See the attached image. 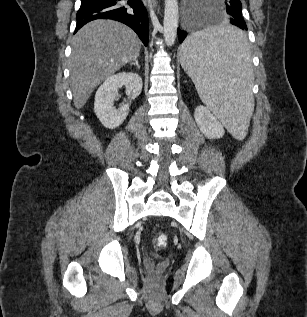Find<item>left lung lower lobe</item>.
I'll list each match as a JSON object with an SVG mask.
<instances>
[{
  "mask_svg": "<svg viewBox=\"0 0 307 317\" xmlns=\"http://www.w3.org/2000/svg\"><path fill=\"white\" fill-rule=\"evenodd\" d=\"M229 22L239 28H241L243 31L247 30L246 23L244 19L239 18L238 16H231L229 15ZM187 36V31L186 30H181L178 28V37H179V42L182 43L183 40ZM246 35L244 32L241 31V34L238 37H227L225 38L222 42L221 45L223 46L224 49L235 52L238 51L243 47V45L246 42Z\"/></svg>",
  "mask_w": 307,
  "mask_h": 317,
  "instance_id": "obj_1",
  "label": "left lung lower lobe"
}]
</instances>
